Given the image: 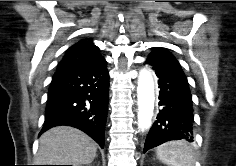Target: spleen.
Here are the masks:
<instances>
[{
	"instance_id": "obj_1",
	"label": "spleen",
	"mask_w": 236,
	"mask_h": 166,
	"mask_svg": "<svg viewBox=\"0 0 236 166\" xmlns=\"http://www.w3.org/2000/svg\"><path fill=\"white\" fill-rule=\"evenodd\" d=\"M160 161L168 166H194L192 149L183 141H170L157 148Z\"/></svg>"
}]
</instances>
